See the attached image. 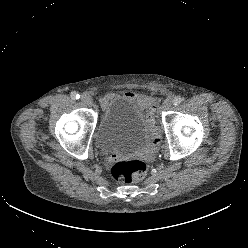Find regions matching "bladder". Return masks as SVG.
<instances>
[{
	"mask_svg": "<svg viewBox=\"0 0 248 248\" xmlns=\"http://www.w3.org/2000/svg\"><path fill=\"white\" fill-rule=\"evenodd\" d=\"M152 138V122L146 107L126 95H118L108 102L95 131L96 144L103 152L143 150Z\"/></svg>",
	"mask_w": 248,
	"mask_h": 248,
	"instance_id": "bladder-1",
	"label": "bladder"
}]
</instances>
